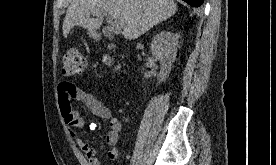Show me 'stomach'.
<instances>
[{
  "instance_id": "1",
  "label": "stomach",
  "mask_w": 276,
  "mask_h": 165,
  "mask_svg": "<svg viewBox=\"0 0 276 165\" xmlns=\"http://www.w3.org/2000/svg\"><path fill=\"white\" fill-rule=\"evenodd\" d=\"M88 34L92 37L96 36V33L94 31H88Z\"/></svg>"
}]
</instances>
